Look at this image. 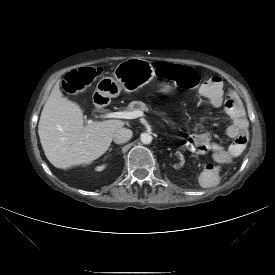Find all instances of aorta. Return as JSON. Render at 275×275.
Here are the masks:
<instances>
[{"mask_svg": "<svg viewBox=\"0 0 275 275\" xmlns=\"http://www.w3.org/2000/svg\"><path fill=\"white\" fill-rule=\"evenodd\" d=\"M152 136L149 133H142L140 135V140L143 144H150L152 142Z\"/></svg>", "mask_w": 275, "mask_h": 275, "instance_id": "762f6f07", "label": "aorta"}]
</instances>
